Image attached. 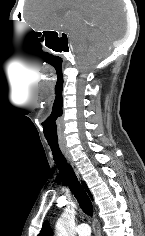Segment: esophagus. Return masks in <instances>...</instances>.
Here are the masks:
<instances>
[{
  "instance_id": "esophagus-1",
  "label": "esophagus",
  "mask_w": 145,
  "mask_h": 236,
  "mask_svg": "<svg viewBox=\"0 0 145 236\" xmlns=\"http://www.w3.org/2000/svg\"><path fill=\"white\" fill-rule=\"evenodd\" d=\"M60 149H61L62 153L64 154V156L66 157L69 164L71 165V167L73 168L75 174L79 177V170H78L67 146L64 143H60ZM96 236H101V229H100L99 224H97V226H96Z\"/></svg>"
}]
</instances>
